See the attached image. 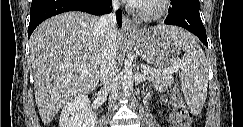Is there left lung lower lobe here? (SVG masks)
<instances>
[{
  "instance_id": "0a47b994",
  "label": "left lung lower lobe",
  "mask_w": 243,
  "mask_h": 127,
  "mask_svg": "<svg viewBox=\"0 0 243 127\" xmlns=\"http://www.w3.org/2000/svg\"><path fill=\"white\" fill-rule=\"evenodd\" d=\"M165 19V24L176 25L195 34L208 47L205 27L200 18L199 0H175Z\"/></svg>"
}]
</instances>
